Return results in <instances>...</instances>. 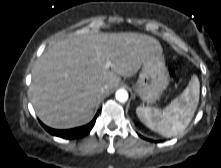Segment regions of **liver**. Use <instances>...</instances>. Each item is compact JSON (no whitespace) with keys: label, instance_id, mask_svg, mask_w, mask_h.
<instances>
[{"label":"liver","instance_id":"6515ba94","mask_svg":"<svg viewBox=\"0 0 221 168\" xmlns=\"http://www.w3.org/2000/svg\"><path fill=\"white\" fill-rule=\"evenodd\" d=\"M162 55V46L139 33H91L55 42L32 70L29 89L39 119L55 129L88 123L101 87L118 86L120 76L135 75L151 55ZM112 63L105 68L106 60Z\"/></svg>","mask_w":221,"mask_h":168}]
</instances>
